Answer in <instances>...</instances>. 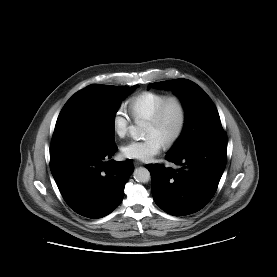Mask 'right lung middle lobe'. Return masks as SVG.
I'll list each match as a JSON object with an SVG mask.
<instances>
[{
  "mask_svg": "<svg viewBox=\"0 0 277 277\" xmlns=\"http://www.w3.org/2000/svg\"><path fill=\"white\" fill-rule=\"evenodd\" d=\"M138 85H90L75 93L64 105L54 134L76 135L102 146L114 143V119L121 101Z\"/></svg>",
  "mask_w": 277,
  "mask_h": 277,
  "instance_id": "right-lung-middle-lobe-1",
  "label": "right lung middle lobe"
}]
</instances>
